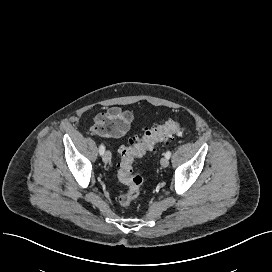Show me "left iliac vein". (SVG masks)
<instances>
[{
  "instance_id": "1",
  "label": "left iliac vein",
  "mask_w": 272,
  "mask_h": 272,
  "mask_svg": "<svg viewBox=\"0 0 272 272\" xmlns=\"http://www.w3.org/2000/svg\"><path fill=\"white\" fill-rule=\"evenodd\" d=\"M160 164L162 167L166 168L169 165V159L166 157L161 158Z\"/></svg>"
}]
</instances>
